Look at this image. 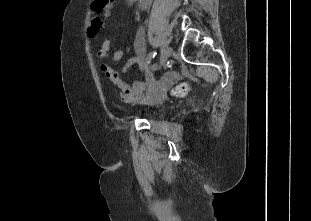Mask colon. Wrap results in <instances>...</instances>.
<instances>
[{
    "instance_id": "5ec220e1",
    "label": "colon",
    "mask_w": 311,
    "mask_h": 221,
    "mask_svg": "<svg viewBox=\"0 0 311 221\" xmlns=\"http://www.w3.org/2000/svg\"><path fill=\"white\" fill-rule=\"evenodd\" d=\"M112 4V0H95L91 5V17H94L93 22L96 25H89V32H101V27L105 26V20L101 17H105L108 11L109 5ZM94 37V34H91ZM190 90L188 83L183 82L175 87L173 90V96L183 97Z\"/></svg>"
}]
</instances>
